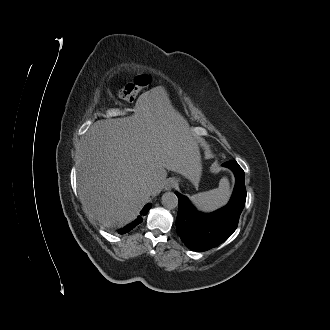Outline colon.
<instances>
[{"instance_id": "colon-1", "label": "colon", "mask_w": 330, "mask_h": 330, "mask_svg": "<svg viewBox=\"0 0 330 330\" xmlns=\"http://www.w3.org/2000/svg\"><path fill=\"white\" fill-rule=\"evenodd\" d=\"M152 81L153 78L151 75L147 73H141L135 78L132 84L126 86L120 91L119 97L125 101H132L136 97V95L142 89L150 85Z\"/></svg>"}]
</instances>
